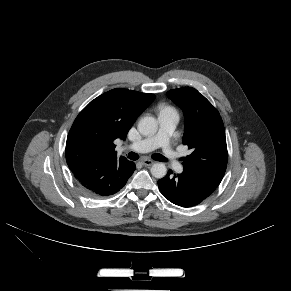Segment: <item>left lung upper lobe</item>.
<instances>
[{
	"label": "left lung upper lobe",
	"instance_id": "1",
	"mask_svg": "<svg viewBox=\"0 0 291 291\" xmlns=\"http://www.w3.org/2000/svg\"><path fill=\"white\" fill-rule=\"evenodd\" d=\"M184 112L183 144L192 153L183 158V166L222 180L227 166V145L219 112L196 89L184 87L167 92Z\"/></svg>",
	"mask_w": 291,
	"mask_h": 291
}]
</instances>
